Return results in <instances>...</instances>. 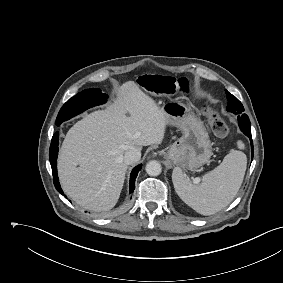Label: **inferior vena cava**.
<instances>
[{
    "label": "inferior vena cava",
    "mask_w": 283,
    "mask_h": 283,
    "mask_svg": "<svg viewBox=\"0 0 283 283\" xmlns=\"http://www.w3.org/2000/svg\"><path fill=\"white\" fill-rule=\"evenodd\" d=\"M141 157V152L138 149H132L125 152L123 156V161L127 165L138 161Z\"/></svg>",
    "instance_id": "inferior-vena-cava-1"
}]
</instances>
